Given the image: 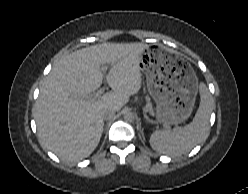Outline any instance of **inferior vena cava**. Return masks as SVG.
<instances>
[{
	"instance_id": "602c4592",
	"label": "inferior vena cava",
	"mask_w": 248,
	"mask_h": 194,
	"mask_svg": "<svg viewBox=\"0 0 248 194\" xmlns=\"http://www.w3.org/2000/svg\"><path fill=\"white\" fill-rule=\"evenodd\" d=\"M116 110L115 109H109L104 113V119L109 120L115 116Z\"/></svg>"
}]
</instances>
